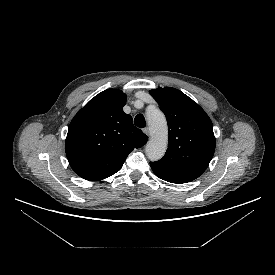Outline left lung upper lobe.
Returning a JSON list of instances; mask_svg holds the SVG:
<instances>
[{
    "label": "left lung upper lobe",
    "instance_id": "5c2ea615",
    "mask_svg": "<svg viewBox=\"0 0 275 275\" xmlns=\"http://www.w3.org/2000/svg\"><path fill=\"white\" fill-rule=\"evenodd\" d=\"M150 94L164 112L169 129V144L164 157L151 164L188 181L198 178L208 167L215 151L210 118L178 89L157 88Z\"/></svg>",
    "mask_w": 275,
    "mask_h": 275
}]
</instances>
